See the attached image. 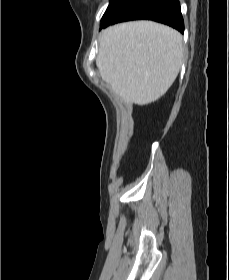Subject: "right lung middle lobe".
Returning <instances> with one entry per match:
<instances>
[{"mask_svg":"<svg viewBox=\"0 0 229 280\" xmlns=\"http://www.w3.org/2000/svg\"><path fill=\"white\" fill-rule=\"evenodd\" d=\"M116 2V0H110L109 6L106 10V12L104 13L102 20L105 18V16L110 12V10L112 9L114 3Z\"/></svg>","mask_w":229,"mask_h":280,"instance_id":"1","label":"right lung middle lobe"}]
</instances>
